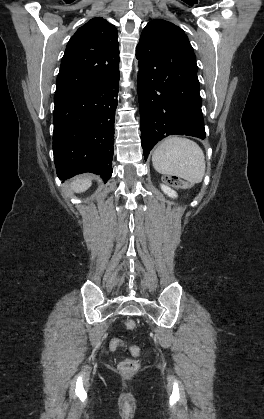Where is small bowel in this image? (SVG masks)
<instances>
[{
    "label": "small bowel",
    "instance_id": "1",
    "mask_svg": "<svg viewBox=\"0 0 264 419\" xmlns=\"http://www.w3.org/2000/svg\"><path fill=\"white\" fill-rule=\"evenodd\" d=\"M119 339H114L112 340L111 344H110V348L111 350H116L118 347L116 346V344L119 342Z\"/></svg>",
    "mask_w": 264,
    "mask_h": 419
}]
</instances>
